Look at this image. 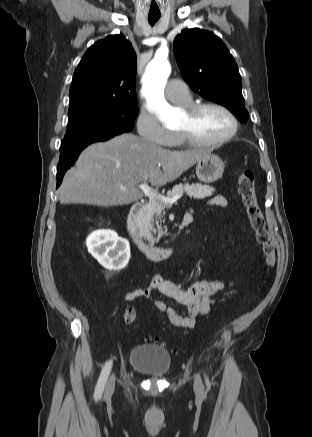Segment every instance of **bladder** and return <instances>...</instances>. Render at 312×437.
<instances>
[{
	"label": "bladder",
	"instance_id": "31cf9c89",
	"mask_svg": "<svg viewBox=\"0 0 312 437\" xmlns=\"http://www.w3.org/2000/svg\"><path fill=\"white\" fill-rule=\"evenodd\" d=\"M130 366L155 378L166 376L171 366V356L162 346L141 344L135 346L129 357Z\"/></svg>",
	"mask_w": 312,
	"mask_h": 437
}]
</instances>
